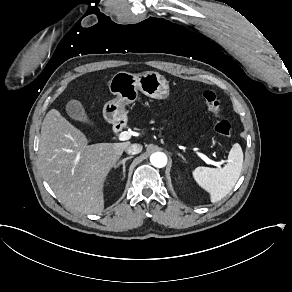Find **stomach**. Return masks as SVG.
<instances>
[{
    "instance_id": "1",
    "label": "stomach",
    "mask_w": 292,
    "mask_h": 292,
    "mask_svg": "<svg viewBox=\"0 0 292 292\" xmlns=\"http://www.w3.org/2000/svg\"><path fill=\"white\" fill-rule=\"evenodd\" d=\"M109 90L116 98L105 103L103 116L109 123L126 117L125 105L136 101L138 91L154 99H165L169 94V83L158 72L145 71L132 74L117 72L109 81Z\"/></svg>"
}]
</instances>
